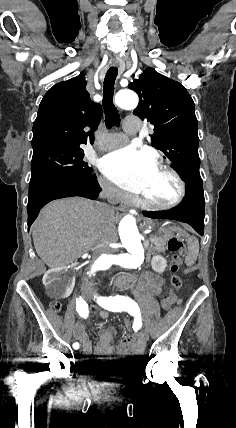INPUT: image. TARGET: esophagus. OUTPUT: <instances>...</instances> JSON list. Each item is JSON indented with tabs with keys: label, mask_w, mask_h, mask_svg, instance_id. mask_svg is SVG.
Here are the masks:
<instances>
[{
	"label": "esophagus",
	"mask_w": 236,
	"mask_h": 428,
	"mask_svg": "<svg viewBox=\"0 0 236 428\" xmlns=\"http://www.w3.org/2000/svg\"><path fill=\"white\" fill-rule=\"evenodd\" d=\"M113 67H117L119 65L118 61L110 62Z\"/></svg>",
	"instance_id": "obj_1"
}]
</instances>
